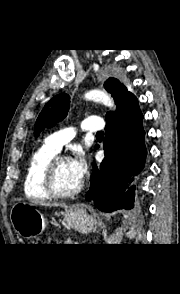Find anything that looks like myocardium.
<instances>
[{"instance_id": "1", "label": "myocardium", "mask_w": 180, "mask_h": 294, "mask_svg": "<svg viewBox=\"0 0 180 294\" xmlns=\"http://www.w3.org/2000/svg\"><path fill=\"white\" fill-rule=\"evenodd\" d=\"M63 161H68V158L59 155L55 156L50 160L43 172V188L50 197L55 199L73 198L77 196L83 188V184L80 183L75 190L70 192H61L57 189L55 182L56 170L58 165Z\"/></svg>"}]
</instances>
